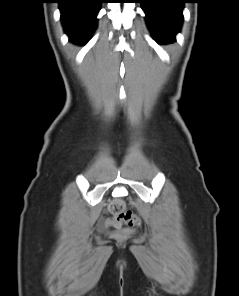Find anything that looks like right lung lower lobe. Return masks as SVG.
Here are the masks:
<instances>
[{
	"label": "right lung lower lobe",
	"instance_id": "98d812e1",
	"mask_svg": "<svg viewBox=\"0 0 239 296\" xmlns=\"http://www.w3.org/2000/svg\"><path fill=\"white\" fill-rule=\"evenodd\" d=\"M61 20L69 39L86 41L93 33L103 0H58Z\"/></svg>",
	"mask_w": 239,
	"mask_h": 296
}]
</instances>
